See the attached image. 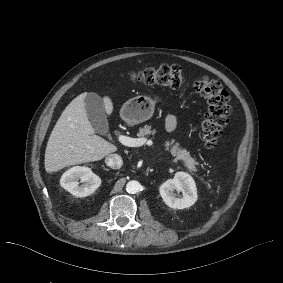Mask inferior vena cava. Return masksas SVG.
Returning <instances> with one entry per match:
<instances>
[{"mask_svg":"<svg viewBox=\"0 0 283 283\" xmlns=\"http://www.w3.org/2000/svg\"><path fill=\"white\" fill-rule=\"evenodd\" d=\"M105 162L113 169H119L122 166V158L117 154H110L106 157Z\"/></svg>","mask_w":283,"mask_h":283,"instance_id":"1","label":"inferior vena cava"}]
</instances>
